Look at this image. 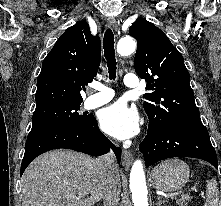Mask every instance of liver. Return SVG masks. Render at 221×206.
<instances>
[{
  "instance_id": "obj_1",
  "label": "liver",
  "mask_w": 221,
  "mask_h": 206,
  "mask_svg": "<svg viewBox=\"0 0 221 206\" xmlns=\"http://www.w3.org/2000/svg\"><path fill=\"white\" fill-rule=\"evenodd\" d=\"M104 181L99 159L70 150L50 151L25 170L22 206H93L102 199Z\"/></svg>"
}]
</instances>
